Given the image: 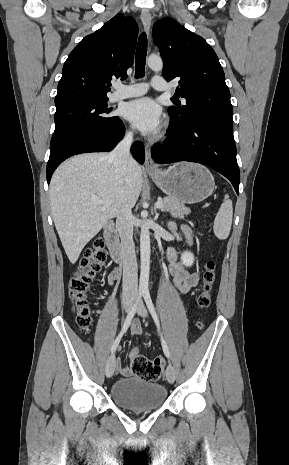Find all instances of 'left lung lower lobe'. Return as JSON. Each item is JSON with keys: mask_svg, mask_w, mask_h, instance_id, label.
Listing matches in <instances>:
<instances>
[{"mask_svg": "<svg viewBox=\"0 0 289 465\" xmlns=\"http://www.w3.org/2000/svg\"><path fill=\"white\" fill-rule=\"evenodd\" d=\"M167 133L166 142L151 149L157 163L190 161L207 165L228 178L239 194L240 171L232 125L200 119L187 123L172 120Z\"/></svg>", "mask_w": 289, "mask_h": 465, "instance_id": "left-lung-lower-lobe-1", "label": "left lung lower lobe"}]
</instances>
